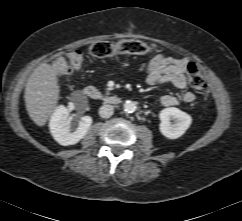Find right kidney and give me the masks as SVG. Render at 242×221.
<instances>
[{"mask_svg":"<svg viewBox=\"0 0 242 221\" xmlns=\"http://www.w3.org/2000/svg\"><path fill=\"white\" fill-rule=\"evenodd\" d=\"M92 118L90 116H83L79 121L78 127L71 131L69 110L63 106H58L53 112L49 127L53 138L62 146H69L77 144L85 137L90 126Z\"/></svg>","mask_w":242,"mask_h":221,"instance_id":"right-kidney-1","label":"right kidney"}]
</instances>
